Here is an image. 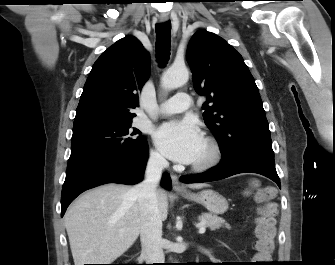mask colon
I'll use <instances>...</instances> for the list:
<instances>
[{
	"instance_id": "1",
	"label": "colon",
	"mask_w": 335,
	"mask_h": 265,
	"mask_svg": "<svg viewBox=\"0 0 335 265\" xmlns=\"http://www.w3.org/2000/svg\"><path fill=\"white\" fill-rule=\"evenodd\" d=\"M250 190L260 204L255 230L257 237L255 263L256 265H269L275 248L276 207L271 201L274 193L269 187H260L256 180L251 182Z\"/></svg>"
}]
</instances>
